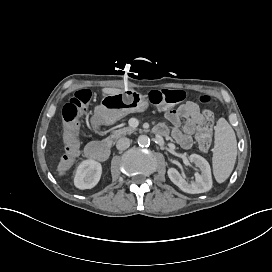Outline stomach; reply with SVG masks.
<instances>
[{
	"instance_id": "obj_1",
	"label": "stomach",
	"mask_w": 272,
	"mask_h": 272,
	"mask_svg": "<svg viewBox=\"0 0 272 272\" xmlns=\"http://www.w3.org/2000/svg\"><path fill=\"white\" fill-rule=\"evenodd\" d=\"M147 105V99L133 89L105 95L101 100V107L116 118H121L130 112L144 111Z\"/></svg>"
}]
</instances>
